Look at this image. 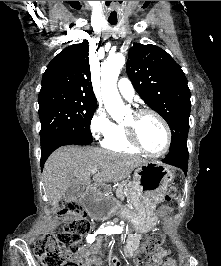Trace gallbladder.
I'll return each instance as SVG.
<instances>
[{
    "mask_svg": "<svg viewBox=\"0 0 221 266\" xmlns=\"http://www.w3.org/2000/svg\"><path fill=\"white\" fill-rule=\"evenodd\" d=\"M85 186L80 184H72L66 191L64 196L62 197L63 201L73 202L77 201L84 193Z\"/></svg>",
    "mask_w": 221,
    "mask_h": 266,
    "instance_id": "obj_1",
    "label": "gallbladder"
}]
</instances>
